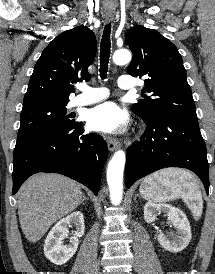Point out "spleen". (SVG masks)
<instances>
[{"instance_id": "1", "label": "spleen", "mask_w": 215, "mask_h": 274, "mask_svg": "<svg viewBox=\"0 0 215 274\" xmlns=\"http://www.w3.org/2000/svg\"><path fill=\"white\" fill-rule=\"evenodd\" d=\"M140 188L149 202H167L181 197L196 214L203 208L202 194L197 179L182 169H164L147 176Z\"/></svg>"}]
</instances>
